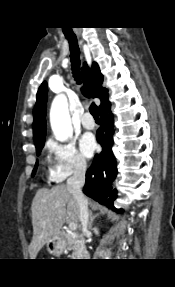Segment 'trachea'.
I'll return each mask as SVG.
<instances>
[{
  "label": "trachea",
  "mask_w": 175,
  "mask_h": 287,
  "mask_svg": "<svg viewBox=\"0 0 175 287\" xmlns=\"http://www.w3.org/2000/svg\"><path fill=\"white\" fill-rule=\"evenodd\" d=\"M66 39L68 40L70 46L72 71L75 79L79 81L80 51L77 44V39L76 37H70V36H66ZM90 113L92 114L95 120L97 121L99 120L98 107L94 103H92V105L90 106Z\"/></svg>",
  "instance_id": "3493384b"
}]
</instances>
